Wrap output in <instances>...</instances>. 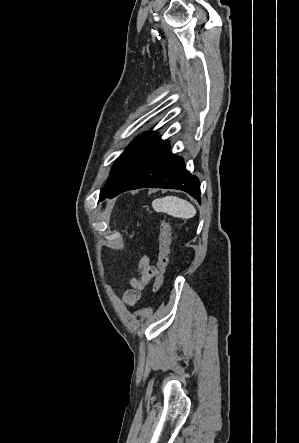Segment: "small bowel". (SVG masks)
I'll use <instances>...</instances> for the list:
<instances>
[{
  "label": "small bowel",
  "instance_id": "obj_1",
  "mask_svg": "<svg viewBox=\"0 0 299 443\" xmlns=\"http://www.w3.org/2000/svg\"><path fill=\"white\" fill-rule=\"evenodd\" d=\"M155 276V268L151 265L150 257L143 256L136 268V274L129 281L130 288L123 294V301L128 307H133L140 299L141 291Z\"/></svg>",
  "mask_w": 299,
  "mask_h": 443
}]
</instances>
